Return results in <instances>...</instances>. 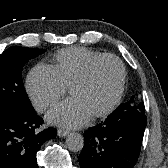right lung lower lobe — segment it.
<instances>
[{
    "label": "right lung lower lobe",
    "instance_id": "98d812e1",
    "mask_svg": "<svg viewBox=\"0 0 168 168\" xmlns=\"http://www.w3.org/2000/svg\"><path fill=\"white\" fill-rule=\"evenodd\" d=\"M43 120L34 109L0 106V168H39L36 153L55 128L40 131Z\"/></svg>",
    "mask_w": 168,
    "mask_h": 168
}]
</instances>
